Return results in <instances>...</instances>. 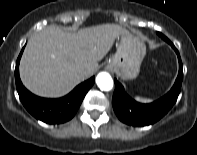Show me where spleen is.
<instances>
[{"mask_svg": "<svg viewBox=\"0 0 197 155\" xmlns=\"http://www.w3.org/2000/svg\"><path fill=\"white\" fill-rule=\"evenodd\" d=\"M136 100L139 101V102H143V103L151 101L150 99H145V98H141V97H136Z\"/></svg>", "mask_w": 197, "mask_h": 155, "instance_id": "obj_1", "label": "spleen"}]
</instances>
